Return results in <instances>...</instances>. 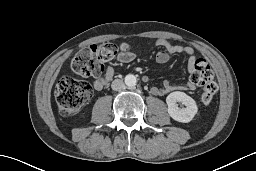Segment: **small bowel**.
<instances>
[{
	"mask_svg": "<svg viewBox=\"0 0 256 171\" xmlns=\"http://www.w3.org/2000/svg\"><path fill=\"white\" fill-rule=\"evenodd\" d=\"M156 45L159 46V50L156 54V61L160 64H165L169 61L170 56L173 54H185L188 56V68L193 69L194 63L196 61L195 51L191 46L173 44L165 39H158ZM135 54L132 52L121 53L117 57L119 63H130L134 60ZM115 70L113 67L108 66L105 69L104 76L97 77L93 80L92 86L95 90H102L114 77ZM195 89L192 83H187L186 85H176L171 82L166 81L162 87H152L151 92L154 95H164L172 91H193Z\"/></svg>",
	"mask_w": 256,
	"mask_h": 171,
	"instance_id": "small-bowel-1",
	"label": "small bowel"
}]
</instances>
